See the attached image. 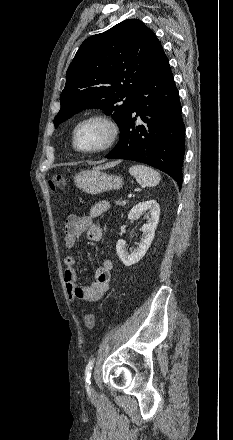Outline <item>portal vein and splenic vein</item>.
I'll use <instances>...</instances> for the list:
<instances>
[{
	"mask_svg": "<svg viewBox=\"0 0 233 440\" xmlns=\"http://www.w3.org/2000/svg\"><path fill=\"white\" fill-rule=\"evenodd\" d=\"M131 197H132V194H129V195H128V198H131Z\"/></svg>",
	"mask_w": 233,
	"mask_h": 440,
	"instance_id": "1",
	"label": "portal vein and splenic vein"
}]
</instances>
